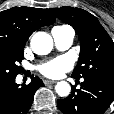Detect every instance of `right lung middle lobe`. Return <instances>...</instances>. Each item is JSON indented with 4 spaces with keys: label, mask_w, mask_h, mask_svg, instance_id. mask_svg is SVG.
I'll use <instances>...</instances> for the list:
<instances>
[{
    "label": "right lung middle lobe",
    "mask_w": 114,
    "mask_h": 114,
    "mask_svg": "<svg viewBox=\"0 0 114 114\" xmlns=\"http://www.w3.org/2000/svg\"><path fill=\"white\" fill-rule=\"evenodd\" d=\"M24 47L0 42V82L11 80L21 72L18 66L24 59Z\"/></svg>",
    "instance_id": "dd1d6c3e"
}]
</instances>
